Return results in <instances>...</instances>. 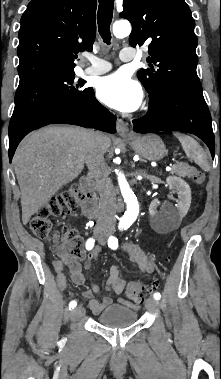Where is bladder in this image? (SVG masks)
<instances>
[{"instance_id":"obj_1","label":"bladder","mask_w":221,"mask_h":379,"mask_svg":"<svg viewBox=\"0 0 221 379\" xmlns=\"http://www.w3.org/2000/svg\"><path fill=\"white\" fill-rule=\"evenodd\" d=\"M137 312L130 307L114 304L107 307L97 316V322L109 328H123L137 321Z\"/></svg>"}]
</instances>
